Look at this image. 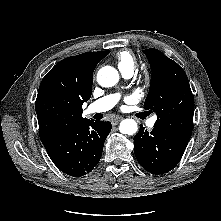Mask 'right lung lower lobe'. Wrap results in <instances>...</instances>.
Here are the masks:
<instances>
[{
    "label": "right lung lower lobe",
    "mask_w": 221,
    "mask_h": 221,
    "mask_svg": "<svg viewBox=\"0 0 221 221\" xmlns=\"http://www.w3.org/2000/svg\"><path fill=\"white\" fill-rule=\"evenodd\" d=\"M110 131V122L87 119L43 145L59 170L80 177L99 162Z\"/></svg>",
    "instance_id": "98d812e1"
}]
</instances>
